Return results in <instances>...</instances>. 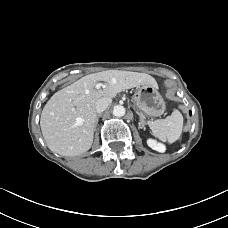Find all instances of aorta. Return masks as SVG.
I'll use <instances>...</instances> for the list:
<instances>
[{"mask_svg":"<svg viewBox=\"0 0 228 228\" xmlns=\"http://www.w3.org/2000/svg\"><path fill=\"white\" fill-rule=\"evenodd\" d=\"M113 115L116 117H121L125 115V108L123 106L117 105L113 109Z\"/></svg>","mask_w":228,"mask_h":228,"instance_id":"1","label":"aorta"}]
</instances>
